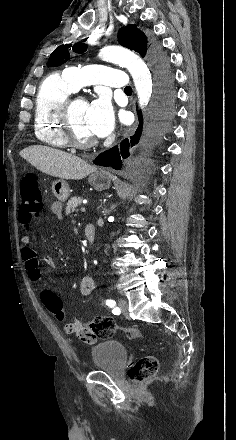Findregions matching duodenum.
Returning a JSON list of instances; mask_svg holds the SVG:
<instances>
[{"mask_svg":"<svg viewBox=\"0 0 236 440\" xmlns=\"http://www.w3.org/2000/svg\"><path fill=\"white\" fill-rule=\"evenodd\" d=\"M84 235H85L86 240L89 243H92L94 241V239H95V227H94V225H92V224L86 225L85 228H84Z\"/></svg>","mask_w":236,"mask_h":440,"instance_id":"410a0bca","label":"duodenum"}]
</instances>
